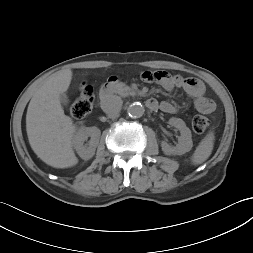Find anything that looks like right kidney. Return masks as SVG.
Instances as JSON below:
<instances>
[{
    "instance_id": "obj_1",
    "label": "right kidney",
    "mask_w": 253,
    "mask_h": 253,
    "mask_svg": "<svg viewBox=\"0 0 253 253\" xmlns=\"http://www.w3.org/2000/svg\"><path fill=\"white\" fill-rule=\"evenodd\" d=\"M100 134L101 131L95 126L81 127L76 132L73 139V146L82 159L89 160L94 156L96 147L99 143ZM88 137H90V141L88 144H84Z\"/></svg>"
}]
</instances>
